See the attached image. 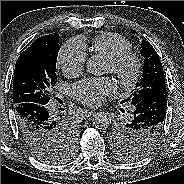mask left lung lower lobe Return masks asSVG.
<instances>
[{
    "label": "left lung lower lobe",
    "mask_w": 184,
    "mask_h": 184,
    "mask_svg": "<svg viewBox=\"0 0 184 184\" xmlns=\"http://www.w3.org/2000/svg\"><path fill=\"white\" fill-rule=\"evenodd\" d=\"M166 96L165 94L157 93L140 101L135 106L134 116L129 123L133 127L150 126L156 128L157 133L152 142H155L162 134L167 109ZM148 145L149 142L147 141H139L134 146L135 149L143 151Z\"/></svg>",
    "instance_id": "obj_1"
}]
</instances>
